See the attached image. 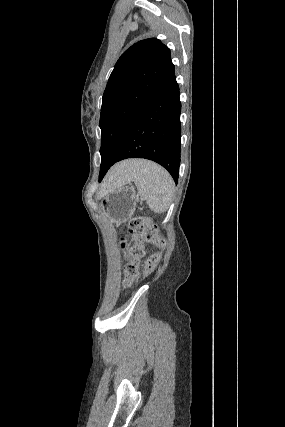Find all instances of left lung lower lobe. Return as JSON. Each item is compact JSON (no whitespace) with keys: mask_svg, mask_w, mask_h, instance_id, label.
<instances>
[{"mask_svg":"<svg viewBox=\"0 0 285 427\" xmlns=\"http://www.w3.org/2000/svg\"><path fill=\"white\" fill-rule=\"evenodd\" d=\"M179 95L173 71L126 128L113 164L128 158L149 159L166 168L177 183L181 147Z\"/></svg>","mask_w":285,"mask_h":427,"instance_id":"0a47b994","label":"left lung lower lobe"}]
</instances>
